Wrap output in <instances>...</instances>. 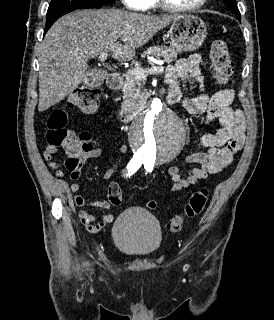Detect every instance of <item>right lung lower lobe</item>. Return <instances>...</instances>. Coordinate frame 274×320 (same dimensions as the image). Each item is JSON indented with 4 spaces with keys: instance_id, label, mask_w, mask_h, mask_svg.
Masks as SVG:
<instances>
[{
    "instance_id": "right-lung-lower-lobe-1",
    "label": "right lung lower lobe",
    "mask_w": 274,
    "mask_h": 320,
    "mask_svg": "<svg viewBox=\"0 0 274 320\" xmlns=\"http://www.w3.org/2000/svg\"><path fill=\"white\" fill-rule=\"evenodd\" d=\"M101 6H102V5L92 6V7H86V8H100ZM86 8L70 9V10L62 11V12L53 14V15H51V16H48L47 19H46V27H45V30H44V35H45L46 32L48 31V29L53 25V23H54L58 18H60L61 16H63L64 14H67V13L72 12V11L77 10V9H86Z\"/></svg>"
}]
</instances>
